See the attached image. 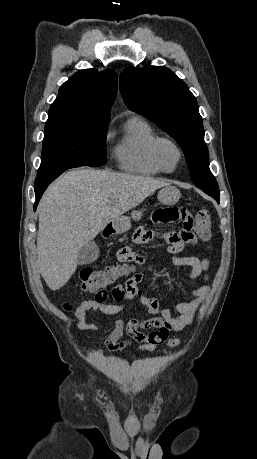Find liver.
<instances>
[{"label":"liver","instance_id":"1","mask_svg":"<svg viewBox=\"0 0 257 459\" xmlns=\"http://www.w3.org/2000/svg\"><path fill=\"white\" fill-rule=\"evenodd\" d=\"M162 179L78 169L46 190L38 207L37 266L51 290L63 287L77 268L78 251L110 222L138 206Z\"/></svg>","mask_w":257,"mask_h":459}]
</instances>
